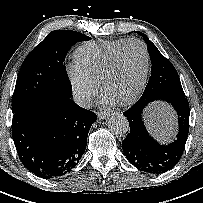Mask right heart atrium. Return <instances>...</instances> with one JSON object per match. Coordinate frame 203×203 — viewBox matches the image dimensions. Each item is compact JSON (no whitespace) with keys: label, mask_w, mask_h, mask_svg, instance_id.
Listing matches in <instances>:
<instances>
[{"label":"right heart atrium","mask_w":203,"mask_h":203,"mask_svg":"<svg viewBox=\"0 0 203 203\" xmlns=\"http://www.w3.org/2000/svg\"><path fill=\"white\" fill-rule=\"evenodd\" d=\"M67 76L77 102L87 106L97 92V82L88 76L76 63L67 66Z\"/></svg>","instance_id":"1"}]
</instances>
